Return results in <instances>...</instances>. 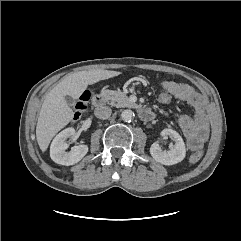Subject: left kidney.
Listing matches in <instances>:
<instances>
[{
  "mask_svg": "<svg viewBox=\"0 0 241 241\" xmlns=\"http://www.w3.org/2000/svg\"><path fill=\"white\" fill-rule=\"evenodd\" d=\"M161 136L170 137L174 140L175 145L168 151H163L158 142H155L150 147V154L155 161L163 165H174L181 162L186 155L185 143L182 137L172 129H164Z\"/></svg>",
  "mask_w": 241,
  "mask_h": 241,
  "instance_id": "obj_1",
  "label": "left kidney"
}]
</instances>
